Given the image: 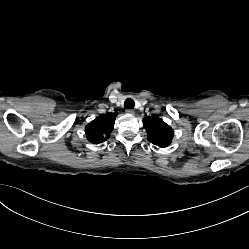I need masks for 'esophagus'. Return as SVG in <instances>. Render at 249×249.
<instances>
[{"mask_svg":"<svg viewBox=\"0 0 249 249\" xmlns=\"http://www.w3.org/2000/svg\"><path fill=\"white\" fill-rule=\"evenodd\" d=\"M126 113L129 114V115H133L135 113V111L132 110V109H127Z\"/></svg>","mask_w":249,"mask_h":249,"instance_id":"obj_1","label":"esophagus"}]
</instances>
